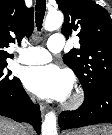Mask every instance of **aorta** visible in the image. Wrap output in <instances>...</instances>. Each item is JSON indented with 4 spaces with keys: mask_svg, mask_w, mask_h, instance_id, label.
Segmentation results:
<instances>
[{
    "mask_svg": "<svg viewBox=\"0 0 112 135\" xmlns=\"http://www.w3.org/2000/svg\"><path fill=\"white\" fill-rule=\"evenodd\" d=\"M64 17L60 11L49 13L44 22V28L47 31L57 30L63 23ZM41 135H58L57 116L54 111L48 112L42 122Z\"/></svg>",
    "mask_w": 112,
    "mask_h": 135,
    "instance_id": "762f6f07",
    "label": "aorta"
}]
</instances>
